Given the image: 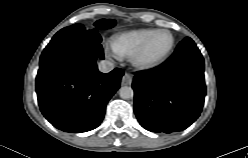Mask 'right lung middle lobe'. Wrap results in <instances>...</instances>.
Instances as JSON below:
<instances>
[{"label":"right lung middle lobe","instance_id":"right-lung-middle-lobe-1","mask_svg":"<svg viewBox=\"0 0 248 158\" xmlns=\"http://www.w3.org/2000/svg\"><path fill=\"white\" fill-rule=\"evenodd\" d=\"M116 24V21L115 20H112V19H101V20H98L94 23V26L95 28L92 30V31H96L98 32L99 30L101 29H109V28H112L113 26H115ZM85 27L81 24H74V25H71L69 27H65L63 29H61L59 32L62 33V32H70V31H85Z\"/></svg>","mask_w":248,"mask_h":158}]
</instances>
